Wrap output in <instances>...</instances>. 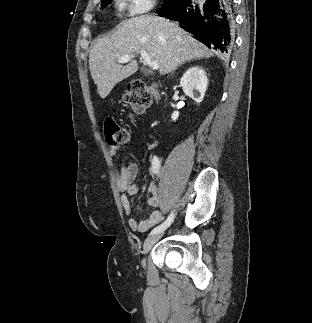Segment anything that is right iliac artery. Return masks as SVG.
I'll use <instances>...</instances> for the list:
<instances>
[{"mask_svg": "<svg viewBox=\"0 0 312 323\" xmlns=\"http://www.w3.org/2000/svg\"><path fill=\"white\" fill-rule=\"evenodd\" d=\"M159 166H160L159 159L156 156H154L152 159V172L154 174L158 172ZM173 219H174V214L171 213L165 222H163L161 225L155 227L151 231V234H157V233H160V232L164 231L165 229H167L171 225V223L173 222Z\"/></svg>", "mask_w": 312, "mask_h": 323, "instance_id": "obj_1", "label": "right iliac artery"}]
</instances>
